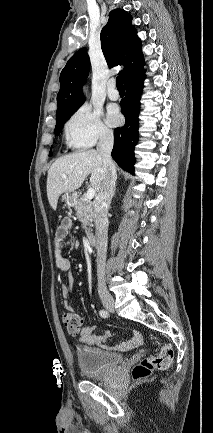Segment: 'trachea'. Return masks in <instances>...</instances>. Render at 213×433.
Returning a JSON list of instances; mask_svg holds the SVG:
<instances>
[{
	"label": "trachea",
	"mask_w": 213,
	"mask_h": 433,
	"mask_svg": "<svg viewBox=\"0 0 213 433\" xmlns=\"http://www.w3.org/2000/svg\"><path fill=\"white\" fill-rule=\"evenodd\" d=\"M116 84H117V88H118V89H124V85H123V83H122V78H121V76H118V77L116 78Z\"/></svg>",
	"instance_id": "obj_1"
}]
</instances>
